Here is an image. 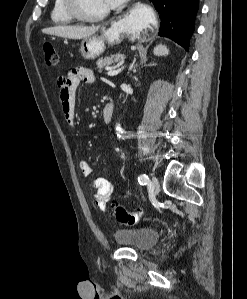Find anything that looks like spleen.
<instances>
[{
    "label": "spleen",
    "mask_w": 247,
    "mask_h": 299,
    "mask_svg": "<svg viewBox=\"0 0 247 299\" xmlns=\"http://www.w3.org/2000/svg\"><path fill=\"white\" fill-rule=\"evenodd\" d=\"M154 55L156 56H166L169 54V50L165 45H157L153 51Z\"/></svg>",
    "instance_id": "3e777b00"
}]
</instances>
